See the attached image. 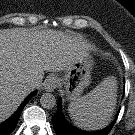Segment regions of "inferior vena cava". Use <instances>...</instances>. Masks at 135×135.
Here are the masks:
<instances>
[{
	"label": "inferior vena cava",
	"mask_w": 135,
	"mask_h": 135,
	"mask_svg": "<svg viewBox=\"0 0 135 135\" xmlns=\"http://www.w3.org/2000/svg\"><path fill=\"white\" fill-rule=\"evenodd\" d=\"M35 86H36V84H35V82H33V81H30V82H28V83L26 84V87H27L28 89H33V88H35Z\"/></svg>",
	"instance_id": "1"
}]
</instances>
